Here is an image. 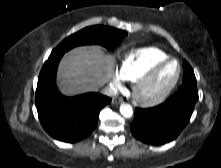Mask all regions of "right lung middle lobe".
Instances as JSON below:
<instances>
[{
  "label": "right lung middle lobe",
  "instance_id": "dd1d6c3e",
  "mask_svg": "<svg viewBox=\"0 0 221 168\" xmlns=\"http://www.w3.org/2000/svg\"><path fill=\"white\" fill-rule=\"evenodd\" d=\"M127 32L106 26H91L64 39L51 55L64 54L66 51L86 44H100L108 49L116 46Z\"/></svg>",
  "mask_w": 221,
  "mask_h": 168
}]
</instances>
